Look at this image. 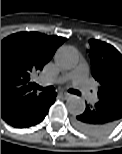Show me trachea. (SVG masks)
Listing matches in <instances>:
<instances>
[{"instance_id": "3493384b", "label": "trachea", "mask_w": 122, "mask_h": 154, "mask_svg": "<svg viewBox=\"0 0 122 154\" xmlns=\"http://www.w3.org/2000/svg\"><path fill=\"white\" fill-rule=\"evenodd\" d=\"M35 88L42 90V91H46L49 93H53L55 91V88L53 86H48V87H41L37 84L34 85ZM70 93L76 94V95H81V93L78 90H74V89H69L68 90Z\"/></svg>"}]
</instances>
